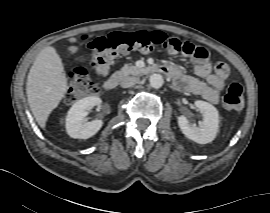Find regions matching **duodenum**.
<instances>
[{
  "mask_svg": "<svg viewBox=\"0 0 270 213\" xmlns=\"http://www.w3.org/2000/svg\"><path fill=\"white\" fill-rule=\"evenodd\" d=\"M152 72L161 73L167 77H171V72L165 66H154L150 69ZM125 77V73L120 71L114 76L109 77L105 83L104 88L107 91H112L119 85L120 81Z\"/></svg>",
  "mask_w": 270,
  "mask_h": 213,
  "instance_id": "1",
  "label": "duodenum"
}]
</instances>
